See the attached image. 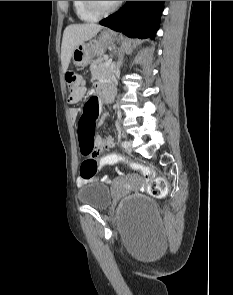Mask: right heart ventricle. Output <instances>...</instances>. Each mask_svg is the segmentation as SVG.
<instances>
[{
    "instance_id": "obj_1",
    "label": "right heart ventricle",
    "mask_w": 233,
    "mask_h": 295,
    "mask_svg": "<svg viewBox=\"0 0 233 295\" xmlns=\"http://www.w3.org/2000/svg\"><path fill=\"white\" fill-rule=\"evenodd\" d=\"M72 5L77 18L81 21L93 22L98 19V16L87 10L84 1H72Z\"/></svg>"
}]
</instances>
